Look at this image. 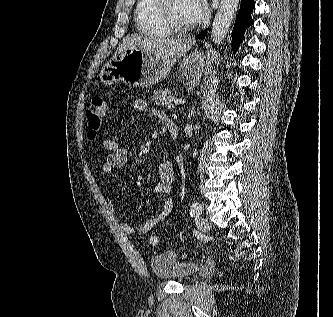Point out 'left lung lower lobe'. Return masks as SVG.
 <instances>
[{
  "label": "left lung lower lobe",
  "mask_w": 333,
  "mask_h": 317,
  "mask_svg": "<svg viewBox=\"0 0 333 317\" xmlns=\"http://www.w3.org/2000/svg\"><path fill=\"white\" fill-rule=\"evenodd\" d=\"M255 7L254 0H241L240 10L235 20V26L233 29V37H232V49L234 53L240 46V42L244 38L245 30L253 25L254 21L251 18V12ZM207 34V29L201 32L197 38L203 39Z\"/></svg>",
  "instance_id": "left-lung-lower-lobe-1"
}]
</instances>
